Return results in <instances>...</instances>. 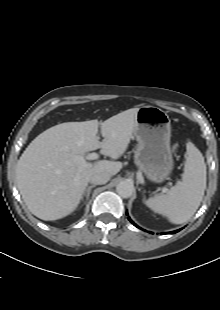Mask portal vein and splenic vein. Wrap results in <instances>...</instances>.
Masks as SVG:
<instances>
[{
	"mask_svg": "<svg viewBox=\"0 0 220 310\" xmlns=\"http://www.w3.org/2000/svg\"><path fill=\"white\" fill-rule=\"evenodd\" d=\"M99 158V155L97 153H89L87 156H86V159L87 160H96ZM167 189H164L163 191L166 192Z\"/></svg>",
	"mask_w": 220,
	"mask_h": 310,
	"instance_id": "1",
	"label": "portal vein and splenic vein"
}]
</instances>
